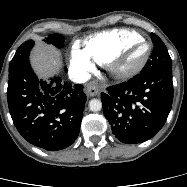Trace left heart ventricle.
I'll return each mask as SVG.
<instances>
[{"label":"left heart ventricle","mask_w":187,"mask_h":187,"mask_svg":"<svg viewBox=\"0 0 187 187\" xmlns=\"http://www.w3.org/2000/svg\"><path fill=\"white\" fill-rule=\"evenodd\" d=\"M147 52L146 43H138L127 54L123 62L120 64L121 69H129L136 66L145 56Z\"/></svg>","instance_id":"1"}]
</instances>
